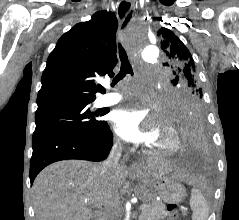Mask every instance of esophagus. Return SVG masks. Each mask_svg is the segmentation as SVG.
Returning a JSON list of instances; mask_svg holds the SVG:
<instances>
[{
    "mask_svg": "<svg viewBox=\"0 0 239 220\" xmlns=\"http://www.w3.org/2000/svg\"><path fill=\"white\" fill-rule=\"evenodd\" d=\"M135 5V0H122L118 12H119V16L123 17L125 15V13L128 10V7L130 6H134ZM131 169L135 170V171H140L141 167L137 162H132L131 163Z\"/></svg>",
    "mask_w": 239,
    "mask_h": 220,
    "instance_id": "obj_1",
    "label": "esophagus"
}]
</instances>
